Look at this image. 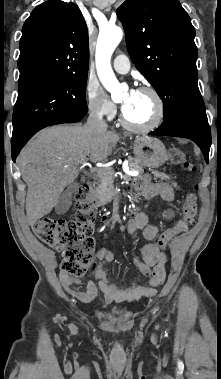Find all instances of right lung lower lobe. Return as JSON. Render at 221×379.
Returning a JSON list of instances; mask_svg holds the SVG:
<instances>
[{
	"label": "right lung lower lobe",
	"mask_w": 221,
	"mask_h": 379,
	"mask_svg": "<svg viewBox=\"0 0 221 379\" xmlns=\"http://www.w3.org/2000/svg\"><path fill=\"white\" fill-rule=\"evenodd\" d=\"M86 114L80 115V116H74V117H69L65 118L62 121H60L59 124L61 123H76L82 120L85 117ZM29 140V139H28ZM28 140H24L22 142H17V143H11V150H12V159L15 162V159L17 155L19 154L20 150L22 147L26 144Z\"/></svg>",
	"instance_id": "1"
}]
</instances>
